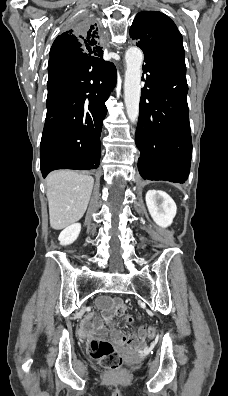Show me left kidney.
Masks as SVG:
<instances>
[{"label": "left kidney", "mask_w": 228, "mask_h": 396, "mask_svg": "<svg viewBox=\"0 0 228 396\" xmlns=\"http://www.w3.org/2000/svg\"><path fill=\"white\" fill-rule=\"evenodd\" d=\"M146 204L154 222L162 228L170 226L177 212L174 200L160 190L146 193Z\"/></svg>", "instance_id": "1"}]
</instances>
